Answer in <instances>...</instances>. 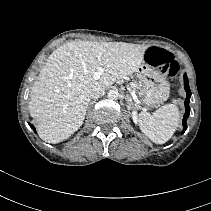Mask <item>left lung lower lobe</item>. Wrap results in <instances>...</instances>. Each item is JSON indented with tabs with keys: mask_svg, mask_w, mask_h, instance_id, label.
Listing matches in <instances>:
<instances>
[{
	"mask_svg": "<svg viewBox=\"0 0 211 211\" xmlns=\"http://www.w3.org/2000/svg\"><path fill=\"white\" fill-rule=\"evenodd\" d=\"M184 88L186 90V93H187V96H186V100H185V108H186V112L184 114V117H183V131L182 133L185 132V130L187 129V124H186V121H187V118L190 114V107H189V102H190V97H191V91H190V88H189V82H188V78H187V75L184 74Z\"/></svg>",
	"mask_w": 211,
	"mask_h": 211,
	"instance_id": "0a47b994",
	"label": "left lung lower lobe"
}]
</instances>
